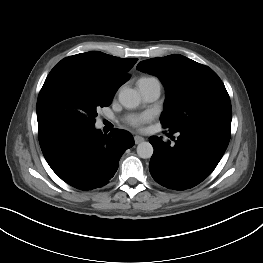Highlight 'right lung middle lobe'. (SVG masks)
<instances>
[{
	"label": "right lung middle lobe",
	"instance_id": "dd1d6c3e",
	"mask_svg": "<svg viewBox=\"0 0 263 263\" xmlns=\"http://www.w3.org/2000/svg\"><path fill=\"white\" fill-rule=\"evenodd\" d=\"M116 93L104 80L77 70L49 73L37 100L38 133L63 128H91L97 109Z\"/></svg>",
	"mask_w": 263,
	"mask_h": 263
}]
</instances>
